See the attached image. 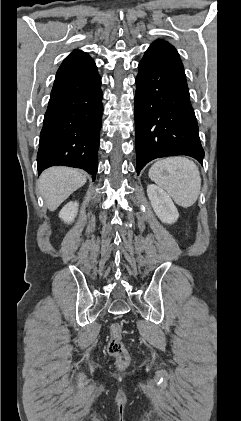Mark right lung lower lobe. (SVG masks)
I'll return each instance as SVG.
<instances>
[{"label": "right lung lower lobe", "mask_w": 241, "mask_h": 421, "mask_svg": "<svg viewBox=\"0 0 241 421\" xmlns=\"http://www.w3.org/2000/svg\"><path fill=\"white\" fill-rule=\"evenodd\" d=\"M101 78L91 57L72 60L56 74L37 154L38 173L53 165L98 170L103 113Z\"/></svg>", "instance_id": "98d812e1"}]
</instances>
